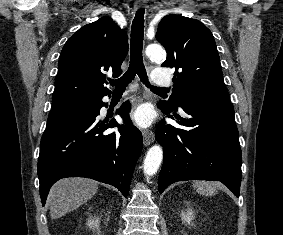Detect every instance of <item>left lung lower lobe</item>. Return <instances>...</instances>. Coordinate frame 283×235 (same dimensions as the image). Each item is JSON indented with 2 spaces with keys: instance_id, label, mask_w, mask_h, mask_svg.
<instances>
[{
  "instance_id": "0a47b994",
  "label": "left lung lower lobe",
  "mask_w": 283,
  "mask_h": 235,
  "mask_svg": "<svg viewBox=\"0 0 283 235\" xmlns=\"http://www.w3.org/2000/svg\"><path fill=\"white\" fill-rule=\"evenodd\" d=\"M163 113L186 129L158 124L156 140L164 148L158 190L184 180H218L239 197L241 183V148L234 119V107L193 102L180 104L187 114L158 105Z\"/></svg>"
}]
</instances>
